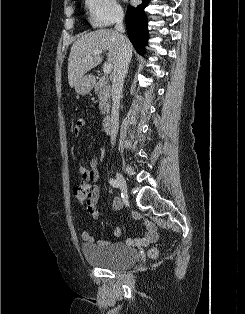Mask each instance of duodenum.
<instances>
[{
	"mask_svg": "<svg viewBox=\"0 0 245 314\" xmlns=\"http://www.w3.org/2000/svg\"><path fill=\"white\" fill-rule=\"evenodd\" d=\"M111 125H112V119L111 116L107 115L103 118L102 120V126H103V130L106 133H110L111 132Z\"/></svg>",
	"mask_w": 245,
	"mask_h": 314,
	"instance_id": "duodenum-1",
	"label": "duodenum"
}]
</instances>
